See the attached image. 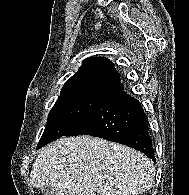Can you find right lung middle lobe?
Wrapping results in <instances>:
<instances>
[{
  "label": "right lung middle lobe",
  "instance_id": "right-lung-middle-lobe-1",
  "mask_svg": "<svg viewBox=\"0 0 189 195\" xmlns=\"http://www.w3.org/2000/svg\"><path fill=\"white\" fill-rule=\"evenodd\" d=\"M108 96L85 90L62 92L48 115L37 149L79 127Z\"/></svg>",
  "mask_w": 189,
  "mask_h": 195
}]
</instances>
